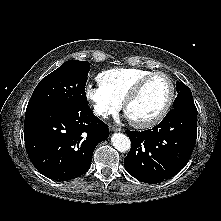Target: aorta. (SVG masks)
Returning a JSON list of instances; mask_svg holds the SVG:
<instances>
[{
  "label": "aorta",
  "instance_id": "aorta-1",
  "mask_svg": "<svg viewBox=\"0 0 221 221\" xmlns=\"http://www.w3.org/2000/svg\"><path fill=\"white\" fill-rule=\"evenodd\" d=\"M112 145L119 152H126L130 150L131 142L127 135L123 133H114L111 137Z\"/></svg>",
  "mask_w": 221,
  "mask_h": 221
}]
</instances>
